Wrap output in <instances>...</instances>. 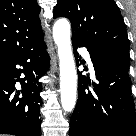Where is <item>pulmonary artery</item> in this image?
<instances>
[{"label": "pulmonary artery", "mask_w": 136, "mask_h": 136, "mask_svg": "<svg viewBox=\"0 0 136 136\" xmlns=\"http://www.w3.org/2000/svg\"><path fill=\"white\" fill-rule=\"evenodd\" d=\"M80 51L82 52L83 56L86 58L89 66L92 68L93 65H92V62H91V58H90L89 52L86 49H81Z\"/></svg>", "instance_id": "1"}]
</instances>
